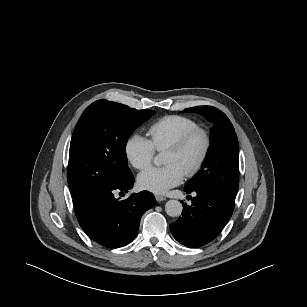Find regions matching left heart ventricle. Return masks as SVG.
Instances as JSON below:
<instances>
[{
	"label": "left heart ventricle",
	"instance_id": "1",
	"mask_svg": "<svg viewBox=\"0 0 307 307\" xmlns=\"http://www.w3.org/2000/svg\"><path fill=\"white\" fill-rule=\"evenodd\" d=\"M203 147L201 137H195L181 152L166 151L163 155L164 164H175L184 173L198 158Z\"/></svg>",
	"mask_w": 307,
	"mask_h": 307
}]
</instances>
